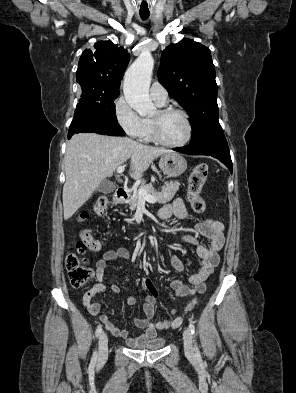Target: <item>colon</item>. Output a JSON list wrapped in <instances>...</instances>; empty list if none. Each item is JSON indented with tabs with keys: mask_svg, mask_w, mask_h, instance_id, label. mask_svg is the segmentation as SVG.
I'll use <instances>...</instances> for the list:
<instances>
[{
	"mask_svg": "<svg viewBox=\"0 0 296 393\" xmlns=\"http://www.w3.org/2000/svg\"><path fill=\"white\" fill-rule=\"evenodd\" d=\"M208 166L204 163L198 164L189 177L188 182V200L191 208L195 213L201 214L206 210V202L201 196V190L206 180ZM108 207V199L105 196L97 198L93 205V211L102 215ZM87 213L83 212L79 215V221L84 220ZM76 252L68 254L66 258V268L69 274V280L73 287H83L91 278L92 271L85 266V259L80 255L87 249L91 251H99L101 244L96 240L89 231L81 233V240L76 243ZM197 303V299H193L184 309L185 313L191 311Z\"/></svg>",
	"mask_w": 296,
	"mask_h": 393,
	"instance_id": "colon-1",
	"label": "colon"
}]
</instances>
